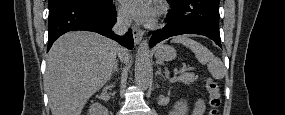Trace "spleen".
<instances>
[{
	"label": "spleen",
	"instance_id": "3e777b00",
	"mask_svg": "<svg viewBox=\"0 0 285 115\" xmlns=\"http://www.w3.org/2000/svg\"><path fill=\"white\" fill-rule=\"evenodd\" d=\"M173 43H180L191 49L195 54L196 59L201 64H206L212 77L215 79H222L226 73V69L220 58L215 57L213 53L203 46L201 43L189 38L188 36H177L172 39Z\"/></svg>",
	"mask_w": 285,
	"mask_h": 115
}]
</instances>
